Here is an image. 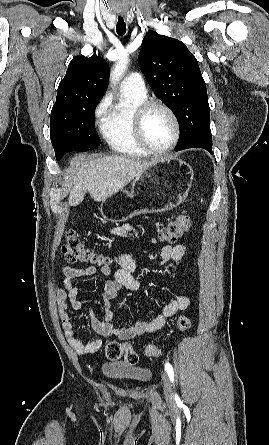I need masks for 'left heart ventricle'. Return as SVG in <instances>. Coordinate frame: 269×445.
<instances>
[{
  "label": "left heart ventricle",
  "instance_id": "left-heart-ventricle-1",
  "mask_svg": "<svg viewBox=\"0 0 269 445\" xmlns=\"http://www.w3.org/2000/svg\"><path fill=\"white\" fill-rule=\"evenodd\" d=\"M144 135L152 148L165 149L174 136V125L170 116L160 108L152 109L144 122Z\"/></svg>",
  "mask_w": 269,
  "mask_h": 445
}]
</instances>
